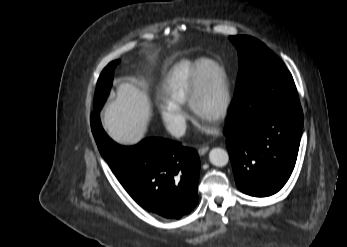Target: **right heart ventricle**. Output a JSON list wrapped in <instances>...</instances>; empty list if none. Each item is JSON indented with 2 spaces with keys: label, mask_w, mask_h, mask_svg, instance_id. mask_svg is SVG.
Instances as JSON below:
<instances>
[{
  "label": "right heart ventricle",
  "mask_w": 347,
  "mask_h": 247,
  "mask_svg": "<svg viewBox=\"0 0 347 247\" xmlns=\"http://www.w3.org/2000/svg\"><path fill=\"white\" fill-rule=\"evenodd\" d=\"M205 61L206 59L186 61L174 66L163 86L165 100L181 106L187 104L193 77L200 67H205Z\"/></svg>",
  "instance_id": "obj_1"
}]
</instances>
